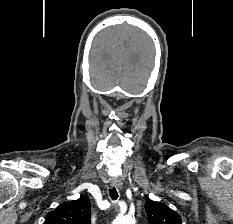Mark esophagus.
I'll return each instance as SVG.
<instances>
[{
    "mask_svg": "<svg viewBox=\"0 0 233 224\" xmlns=\"http://www.w3.org/2000/svg\"><path fill=\"white\" fill-rule=\"evenodd\" d=\"M111 187H116L118 189L122 188V182L120 181L119 178L114 177L111 179Z\"/></svg>",
    "mask_w": 233,
    "mask_h": 224,
    "instance_id": "esophagus-1",
    "label": "esophagus"
}]
</instances>
